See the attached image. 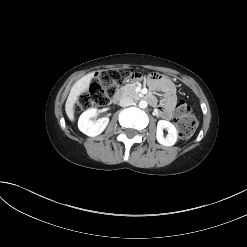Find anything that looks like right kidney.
I'll use <instances>...</instances> for the list:
<instances>
[{
    "mask_svg": "<svg viewBox=\"0 0 247 247\" xmlns=\"http://www.w3.org/2000/svg\"><path fill=\"white\" fill-rule=\"evenodd\" d=\"M97 115V109L91 108L83 112L78 120V128L79 130L90 137H95L101 134L109 123L108 117H103L98 119L97 121L90 120L91 117H95Z\"/></svg>",
    "mask_w": 247,
    "mask_h": 247,
    "instance_id": "right-kidney-1",
    "label": "right kidney"
}]
</instances>
